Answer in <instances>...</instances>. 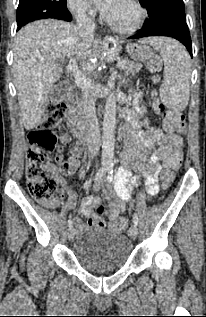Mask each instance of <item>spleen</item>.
Returning <instances> with one entry per match:
<instances>
[{
    "label": "spleen",
    "instance_id": "spleen-1",
    "mask_svg": "<svg viewBox=\"0 0 206 317\" xmlns=\"http://www.w3.org/2000/svg\"><path fill=\"white\" fill-rule=\"evenodd\" d=\"M140 43L149 44L158 50L164 61V81L159 92L166 107L183 111L189 102L191 66L186 49L179 42L165 37L142 39Z\"/></svg>",
    "mask_w": 206,
    "mask_h": 317
}]
</instances>
